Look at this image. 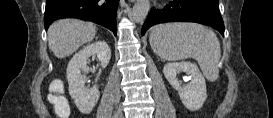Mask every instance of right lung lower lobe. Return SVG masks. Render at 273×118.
I'll return each instance as SVG.
<instances>
[{
    "instance_id": "right-lung-lower-lobe-1",
    "label": "right lung lower lobe",
    "mask_w": 273,
    "mask_h": 118,
    "mask_svg": "<svg viewBox=\"0 0 273 118\" xmlns=\"http://www.w3.org/2000/svg\"><path fill=\"white\" fill-rule=\"evenodd\" d=\"M119 0H46L44 26L61 18H79L110 29L116 35Z\"/></svg>"
}]
</instances>
